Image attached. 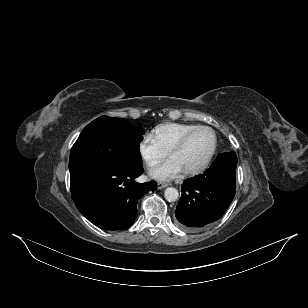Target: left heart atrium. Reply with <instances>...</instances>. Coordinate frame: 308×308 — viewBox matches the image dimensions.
I'll return each mask as SVG.
<instances>
[{
	"instance_id": "1",
	"label": "left heart atrium",
	"mask_w": 308,
	"mask_h": 308,
	"mask_svg": "<svg viewBox=\"0 0 308 308\" xmlns=\"http://www.w3.org/2000/svg\"><path fill=\"white\" fill-rule=\"evenodd\" d=\"M183 168L180 163L170 157L166 161L157 165L149 171V174L152 178L159 181H167L178 177L182 172Z\"/></svg>"
}]
</instances>
